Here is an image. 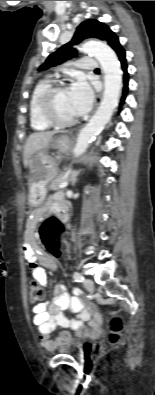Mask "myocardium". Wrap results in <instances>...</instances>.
Masks as SVG:
<instances>
[{
    "label": "myocardium",
    "instance_id": "myocardium-1",
    "mask_svg": "<svg viewBox=\"0 0 155 395\" xmlns=\"http://www.w3.org/2000/svg\"><path fill=\"white\" fill-rule=\"evenodd\" d=\"M64 84H54L48 87L38 100V111L41 118L51 126L69 127L76 123V119H59L53 111V101L57 93L66 90Z\"/></svg>",
    "mask_w": 155,
    "mask_h": 395
}]
</instances>
